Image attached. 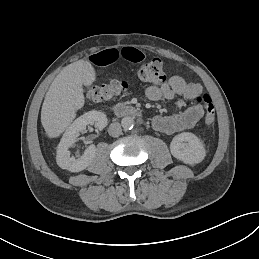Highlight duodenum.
Returning <instances> with one entry per match:
<instances>
[{
  "label": "duodenum",
  "instance_id": "1",
  "mask_svg": "<svg viewBox=\"0 0 259 259\" xmlns=\"http://www.w3.org/2000/svg\"><path fill=\"white\" fill-rule=\"evenodd\" d=\"M113 113L118 117L141 118V112L133 106L116 103L112 106Z\"/></svg>",
  "mask_w": 259,
  "mask_h": 259
}]
</instances>
